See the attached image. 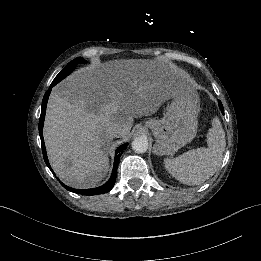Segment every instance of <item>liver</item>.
<instances>
[{
	"instance_id": "liver-1",
	"label": "liver",
	"mask_w": 261,
	"mask_h": 261,
	"mask_svg": "<svg viewBox=\"0 0 261 261\" xmlns=\"http://www.w3.org/2000/svg\"><path fill=\"white\" fill-rule=\"evenodd\" d=\"M189 82L180 70L168 75L139 63L74 71L47 104L43 136L52 169L74 188L95 187L109 171L108 128L117 124L126 138L134 118L156 113Z\"/></svg>"
}]
</instances>
